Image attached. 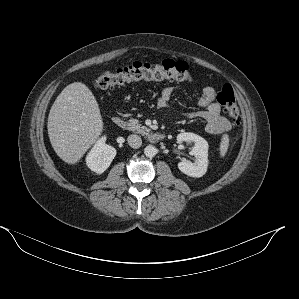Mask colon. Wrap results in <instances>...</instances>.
Instances as JSON below:
<instances>
[{"label": "colon", "instance_id": "obj_1", "mask_svg": "<svg viewBox=\"0 0 299 299\" xmlns=\"http://www.w3.org/2000/svg\"><path fill=\"white\" fill-rule=\"evenodd\" d=\"M190 79L191 73L186 62L165 60L160 64L135 62L113 72H104L94 79L93 84L98 89H109L141 80L158 82L164 80L189 81ZM216 99L224 107L226 114L237 121L239 107L232 86L230 84L223 85L218 91Z\"/></svg>", "mask_w": 299, "mask_h": 299}]
</instances>
